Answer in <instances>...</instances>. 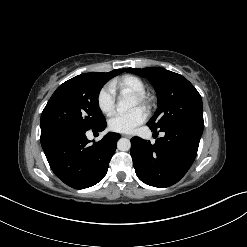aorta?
<instances>
[{
  "mask_svg": "<svg viewBox=\"0 0 247 247\" xmlns=\"http://www.w3.org/2000/svg\"><path fill=\"white\" fill-rule=\"evenodd\" d=\"M135 102L131 98L122 97L118 100L117 110L119 112L126 111L133 107ZM117 148L120 151H128L131 148V142L127 138H120L117 142Z\"/></svg>",
  "mask_w": 247,
  "mask_h": 247,
  "instance_id": "aorta-1",
  "label": "aorta"
}]
</instances>
